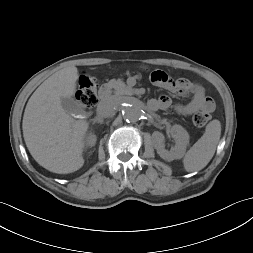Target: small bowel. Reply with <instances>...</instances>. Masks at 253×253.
<instances>
[{
  "label": "small bowel",
  "instance_id": "small-bowel-1",
  "mask_svg": "<svg viewBox=\"0 0 253 253\" xmlns=\"http://www.w3.org/2000/svg\"><path fill=\"white\" fill-rule=\"evenodd\" d=\"M157 75H152L153 83L160 88L166 89L179 95L192 94V99L186 104H177L175 110L183 116L192 115L197 112H212L215 103L212 98L208 97L204 88L185 78L173 80L163 71H156ZM172 105V100L167 95H162L159 98L151 99L148 106L151 110H166Z\"/></svg>",
  "mask_w": 253,
  "mask_h": 253
}]
</instances>
